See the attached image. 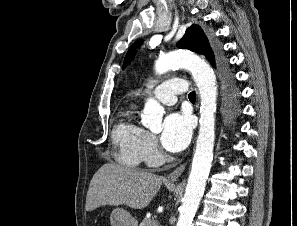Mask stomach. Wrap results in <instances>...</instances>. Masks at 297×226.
Wrapping results in <instances>:
<instances>
[{
	"instance_id": "0dacf381",
	"label": "stomach",
	"mask_w": 297,
	"mask_h": 226,
	"mask_svg": "<svg viewBox=\"0 0 297 226\" xmlns=\"http://www.w3.org/2000/svg\"><path fill=\"white\" fill-rule=\"evenodd\" d=\"M111 226H137V221L125 209L116 208L110 216Z\"/></svg>"
}]
</instances>
